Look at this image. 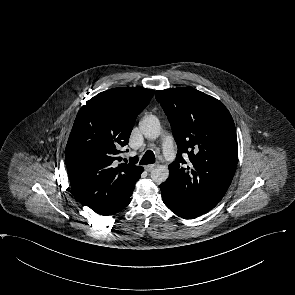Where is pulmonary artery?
Here are the masks:
<instances>
[{"instance_id": "pulmonary-artery-1", "label": "pulmonary artery", "mask_w": 295, "mask_h": 295, "mask_svg": "<svg viewBox=\"0 0 295 295\" xmlns=\"http://www.w3.org/2000/svg\"><path fill=\"white\" fill-rule=\"evenodd\" d=\"M162 150L164 156L170 160L173 161L175 158V149L172 142V139L170 137H165L162 142Z\"/></svg>"}]
</instances>
